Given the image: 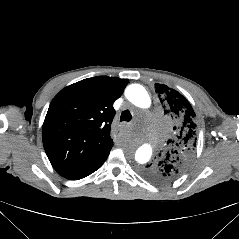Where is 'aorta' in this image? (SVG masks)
<instances>
[{
  "mask_svg": "<svg viewBox=\"0 0 239 239\" xmlns=\"http://www.w3.org/2000/svg\"><path fill=\"white\" fill-rule=\"evenodd\" d=\"M125 96L132 104L139 108H148L150 106V97L145 88L141 85H129L125 90ZM153 149V145L150 144L138 146L131 159H133L140 166L144 165L150 160Z\"/></svg>",
  "mask_w": 239,
  "mask_h": 239,
  "instance_id": "762f6f07",
  "label": "aorta"
}]
</instances>
